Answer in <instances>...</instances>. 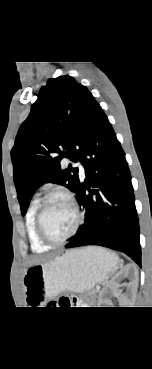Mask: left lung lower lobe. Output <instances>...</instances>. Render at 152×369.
<instances>
[{
    "instance_id": "0a47b994",
    "label": "left lung lower lobe",
    "mask_w": 152,
    "mask_h": 369,
    "mask_svg": "<svg viewBox=\"0 0 152 369\" xmlns=\"http://www.w3.org/2000/svg\"><path fill=\"white\" fill-rule=\"evenodd\" d=\"M86 179L75 191L85 220L66 248L99 245L124 252L141 266L139 223L125 153L99 106L80 158Z\"/></svg>"
}]
</instances>
